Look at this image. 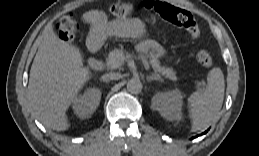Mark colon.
I'll use <instances>...</instances> for the list:
<instances>
[{
	"label": "colon",
	"instance_id": "1",
	"mask_svg": "<svg viewBox=\"0 0 259 156\" xmlns=\"http://www.w3.org/2000/svg\"><path fill=\"white\" fill-rule=\"evenodd\" d=\"M148 5L163 20L185 29L192 38H197L200 35L199 25L189 11L168 3H148ZM108 10L114 16L128 18L134 13V6L126 2H117L110 5ZM78 29V22L71 14L63 16L56 24V30L64 41H72ZM197 60L204 67H211L213 64L212 57L206 50L198 52Z\"/></svg>",
	"mask_w": 259,
	"mask_h": 156
}]
</instances>
